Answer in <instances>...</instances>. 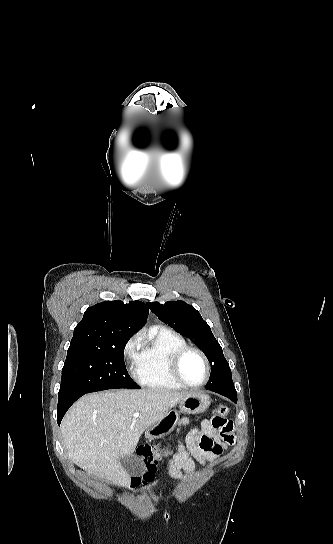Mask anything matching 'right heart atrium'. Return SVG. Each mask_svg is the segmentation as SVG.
Listing matches in <instances>:
<instances>
[{"mask_svg": "<svg viewBox=\"0 0 333 544\" xmlns=\"http://www.w3.org/2000/svg\"><path fill=\"white\" fill-rule=\"evenodd\" d=\"M139 342H140V337L138 335H134L127 341V343L124 346V349H123L124 360H125L126 366L129 369L136 368L138 354H139Z\"/></svg>", "mask_w": 333, "mask_h": 544, "instance_id": "right-heart-atrium-1", "label": "right heart atrium"}]
</instances>
